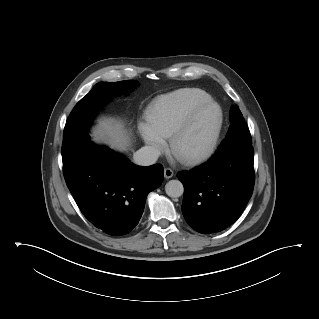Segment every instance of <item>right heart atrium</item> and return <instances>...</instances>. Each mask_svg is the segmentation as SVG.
Wrapping results in <instances>:
<instances>
[{
	"label": "right heart atrium",
	"mask_w": 319,
	"mask_h": 319,
	"mask_svg": "<svg viewBox=\"0 0 319 319\" xmlns=\"http://www.w3.org/2000/svg\"><path fill=\"white\" fill-rule=\"evenodd\" d=\"M139 132L144 142L150 146L155 152L160 153L166 147L165 139L148 123L139 124Z\"/></svg>",
	"instance_id": "right-heart-atrium-1"
}]
</instances>
